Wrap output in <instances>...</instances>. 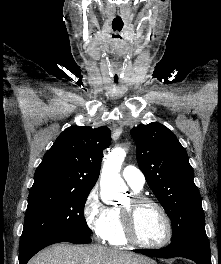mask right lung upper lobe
Listing matches in <instances>:
<instances>
[{
  "mask_svg": "<svg viewBox=\"0 0 221 264\" xmlns=\"http://www.w3.org/2000/svg\"><path fill=\"white\" fill-rule=\"evenodd\" d=\"M107 127L75 126L63 131L46 152L34 174L30 191L91 190L100 174L103 150L109 147Z\"/></svg>",
  "mask_w": 221,
  "mask_h": 264,
  "instance_id": "1",
  "label": "right lung upper lobe"
}]
</instances>
